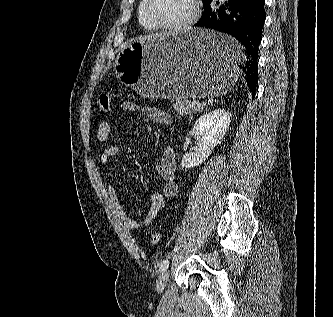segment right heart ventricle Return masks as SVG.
Here are the masks:
<instances>
[{
	"instance_id": "1",
	"label": "right heart ventricle",
	"mask_w": 333,
	"mask_h": 317,
	"mask_svg": "<svg viewBox=\"0 0 333 317\" xmlns=\"http://www.w3.org/2000/svg\"><path fill=\"white\" fill-rule=\"evenodd\" d=\"M138 20H139V24L141 25V27L147 31V32H152L155 30V28H153L149 22L146 20L144 14H143V0L139 6V10H138Z\"/></svg>"
}]
</instances>
